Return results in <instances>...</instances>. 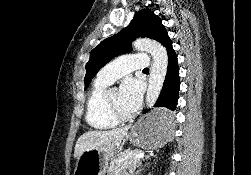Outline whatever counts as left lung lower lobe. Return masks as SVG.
Wrapping results in <instances>:
<instances>
[{"mask_svg":"<svg viewBox=\"0 0 251 175\" xmlns=\"http://www.w3.org/2000/svg\"><path fill=\"white\" fill-rule=\"evenodd\" d=\"M160 43L166 47L167 50L168 69L161 93L154 105V107L158 109L154 110L149 118L150 123L155 125L170 124L175 120V114L172 111L176 109L180 87L177 55L172 47V41L168 34L163 36ZM147 111H145V113Z\"/></svg>","mask_w":251,"mask_h":175,"instance_id":"0a47b994","label":"left lung lower lobe"}]
</instances>
